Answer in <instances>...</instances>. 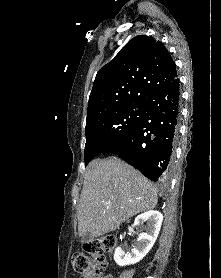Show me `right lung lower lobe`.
I'll return each instance as SVG.
<instances>
[{"label": "right lung lower lobe", "instance_id": "1", "mask_svg": "<svg viewBox=\"0 0 221 278\" xmlns=\"http://www.w3.org/2000/svg\"><path fill=\"white\" fill-rule=\"evenodd\" d=\"M139 124L102 152L117 153L152 181H164L171 168L180 113L178 78L152 92Z\"/></svg>", "mask_w": 221, "mask_h": 278}]
</instances>
